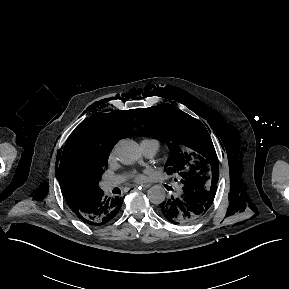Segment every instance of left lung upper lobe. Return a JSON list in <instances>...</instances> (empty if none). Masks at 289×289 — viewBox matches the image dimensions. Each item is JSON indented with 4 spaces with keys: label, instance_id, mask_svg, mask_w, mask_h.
<instances>
[{
    "label": "left lung upper lobe",
    "instance_id": "5c2ea615",
    "mask_svg": "<svg viewBox=\"0 0 289 289\" xmlns=\"http://www.w3.org/2000/svg\"><path fill=\"white\" fill-rule=\"evenodd\" d=\"M139 135L157 136L169 147L168 174L177 172L180 182L199 181L206 186L219 178L218 159L210 135L197 119L176 107L161 106L137 110Z\"/></svg>",
    "mask_w": 289,
    "mask_h": 289
}]
</instances>
